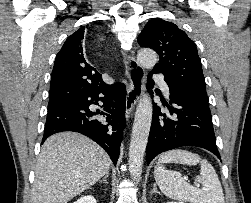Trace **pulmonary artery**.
Segmentation results:
<instances>
[{
    "mask_svg": "<svg viewBox=\"0 0 251 203\" xmlns=\"http://www.w3.org/2000/svg\"><path fill=\"white\" fill-rule=\"evenodd\" d=\"M153 79L156 83H158L160 85V87L162 88V90L168 94L169 92V88L164 80V77L160 74H153Z\"/></svg>",
    "mask_w": 251,
    "mask_h": 203,
    "instance_id": "obj_1",
    "label": "pulmonary artery"
}]
</instances>
